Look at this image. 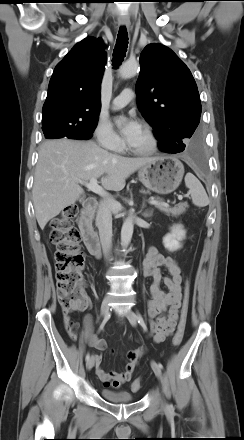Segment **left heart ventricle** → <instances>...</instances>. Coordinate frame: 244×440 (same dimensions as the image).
<instances>
[{"label": "left heart ventricle", "instance_id": "b2bd125f", "mask_svg": "<svg viewBox=\"0 0 244 440\" xmlns=\"http://www.w3.org/2000/svg\"><path fill=\"white\" fill-rule=\"evenodd\" d=\"M129 144L134 148H144L148 145V139L142 129L137 137Z\"/></svg>", "mask_w": 244, "mask_h": 440}]
</instances>
